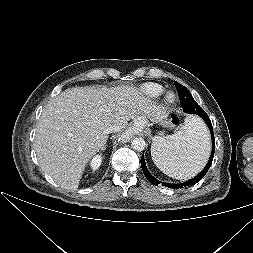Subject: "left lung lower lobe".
<instances>
[{"instance_id": "left-lung-lower-lobe-1", "label": "left lung lower lobe", "mask_w": 253, "mask_h": 253, "mask_svg": "<svg viewBox=\"0 0 253 253\" xmlns=\"http://www.w3.org/2000/svg\"><path fill=\"white\" fill-rule=\"evenodd\" d=\"M195 112H196L195 113L196 115H199L202 119H204V121L206 122V124H207V126H208V128L211 132L212 152H211L209 161H208L207 165L205 166V168L197 176H195L194 178H192V179H190L186 182L178 183V184H170V183L162 182V185H164L165 187L172 188V189H181V188H184V187L195 185L197 182H199L205 176V174L208 172V170H209V168L212 164L213 157H214V152H215V140H214V134L212 132L213 127H212V124H211V121H210L208 115L206 114V112L201 107H198V109ZM141 167H142L144 175L146 176L147 180L150 183H152L155 186H157L161 183L159 180L154 178L151 175V173L148 171V169L146 167V164H145V160H144V154L141 157Z\"/></svg>"}]
</instances>
